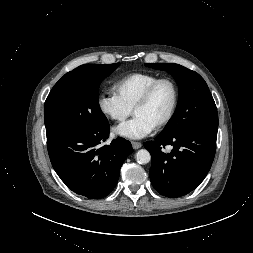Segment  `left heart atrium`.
I'll return each mask as SVG.
<instances>
[{"instance_id":"39dd6f15","label":"left heart atrium","mask_w":253,"mask_h":253,"mask_svg":"<svg viewBox=\"0 0 253 253\" xmlns=\"http://www.w3.org/2000/svg\"><path fill=\"white\" fill-rule=\"evenodd\" d=\"M154 125L140 115H135L129 121L121 123L114 128L115 134L130 138L141 139L154 130Z\"/></svg>"}]
</instances>
